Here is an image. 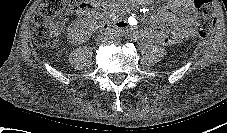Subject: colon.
I'll use <instances>...</instances> for the list:
<instances>
[{
	"mask_svg": "<svg viewBox=\"0 0 227 133\" xmlns=\"http://www.w3.org/2000/svg\"><path fill=\"white\" fill-rule=\"evenodd\" d=\"M199 13L198 37L206 38L214 26L213 0H194ZM93 5L87 0H43L33 19V37L37 44L51 46L59 40L68 13L85 12Z\"/></svg>",
	"mask_w": 227,
	"mask_h": 133,
	"instance_id": "colon-1",
	"label": "colon"
}]
</instances>
